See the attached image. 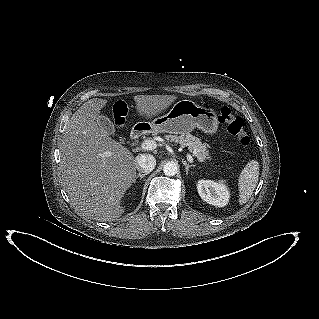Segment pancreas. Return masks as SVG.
<instances>
[{
    "instance_id": "obj_1",
    "label": "pancreas",
    "mask_w": 319,
    "mask_h": 319,
    "mask_svg": "<svg viewBox=\"0 0 319 319\" xmlns=\"http://www.w3.org/2000/svg\"><path fill=\"white\" fill-rule=\"evenodd\" d=\"M167 140L171 142H175L181 145V147H188V149L193 152L194 156L197 158L199 162H207V160H211L212 157L207 150L208 145L206 143H202L201 140L191 134L176 136V135H167L165 137ZM229 167L228 169H230Z\"/></svg>"
}]
</instances>
